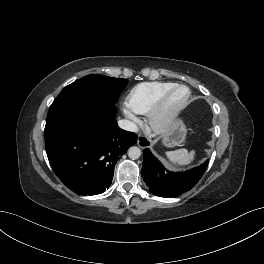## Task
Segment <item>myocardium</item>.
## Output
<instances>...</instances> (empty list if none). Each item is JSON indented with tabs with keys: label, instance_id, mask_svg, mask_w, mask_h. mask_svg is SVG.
Instances as JSON below:
<instances>
[{
	"label": "myocardium",
	"instance_id": "obj_1",
	"mask_svg": "<svg viewBox=\"0 0 264 264\" xmlns=\"http://www.w3.org/2000/svg\"><path fill=\"white\" fill-rule=\"evenodd\" d=\"M179 88H184L187 90L185 99L177 107L170 111H167L166 108L170 96L175 90ZM190 96V89L183 84H174L173 86L166 89L159 96L157 101L148 112V122L150 127L157 133H165L166 131H168L173 126L180 113L187 106Z\"/></svg>",
	"mask_w": 264,
	"mask_h": 264
}]
</instances>
